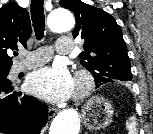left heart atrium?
I'll return each instance as SVG.
<instances>
[{
  "mask_svg": "<svg viewBox=\"0 0 153 134\" xmlns=\"http://www.w3.org/2000/svg\"><path fill=\"white\" fill-rule=\"evenodd\" d=\"M28 90L34 95L53 103H60L74 93L75 82L62 64L42 67L27 79Z\"/></svg>",
  "mask_w": 153,
  "mask_h": 134,
  "instance_id": "obj_1",
  "label": "left heart atrium"
}]
</instances>
